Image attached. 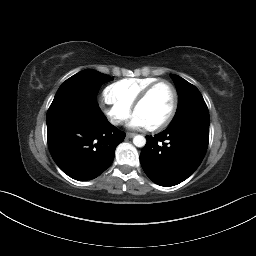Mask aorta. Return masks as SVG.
<instances>
[{"mask_svg": "<svg viewBox=\"0 0 256 256\" xmlns=\"http://www.w3.org/2000/svg\"><path fill=\"white\" fill-rule=\"evenodd\" d=\"M133 144L136 146V147H144L145 144H146V139L144 136L142 135H136L134 138H133Z\"/></svg>", "mask_w": 256, "mask_h": 256, "instance_id": "aorta-1", "label": "aorta"}]
</instances>
